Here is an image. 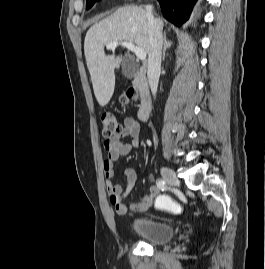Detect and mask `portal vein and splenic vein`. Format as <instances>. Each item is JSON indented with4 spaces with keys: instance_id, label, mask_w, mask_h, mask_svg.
<instances>
[{
    "instance_id": "obj_1",
    "label": "portal vein and splenic vein",
    "mask_w": 265,
    "mask_h": 269,
    "mask_svg": "<svg viewBox=\"0 0 265 269\" xmlns=\"http://www.w3.org/2000/svg\"><path fill=\"white\" fill-rule=\"evenodd\" d=\"M118 45H122L123 47H126L128 50L133 52L138 59L145 60L146 59V52L142 49L136 46L135 44L127 41H115L112 43H109L106 45V48L109 50H114Z\"/></svg>"
}]
</instances>
